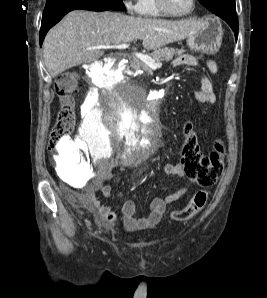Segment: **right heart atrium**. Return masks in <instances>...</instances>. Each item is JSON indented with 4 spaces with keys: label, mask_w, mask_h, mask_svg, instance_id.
Segmentation results:
<instances>
[{
    "label": "right heart atrium",
    "mask_w": 267,
    "mask_h": 298,
    "mask_svg": "<svg viewBox=\"0 0 267 298\" xmlns=\"http://www.w3.org/2000/svg\"><path fill=\"white\" fill-rule=\"evenodd\" d=\"M123 4L130 14H138L140 12L141 0H123Z\"/></svg>",
    "instance_id": "1"
}]
</instances>
